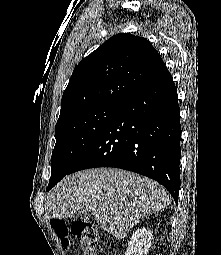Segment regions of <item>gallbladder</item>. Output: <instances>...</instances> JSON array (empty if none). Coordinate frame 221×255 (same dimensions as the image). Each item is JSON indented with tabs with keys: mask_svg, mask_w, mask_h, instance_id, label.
Masks as SVG:
<instances>
[{
	"mask_svg": "<svg viewBox=\"0 0 221 255\" xmlns=\"http://www.w3.org/2000/svg\"><path fill=\"white\" fill-rule=\"evenodd\" d=\"M79 215L84 220H88L93 216L92 212L89 211V210H82V211L79 212Z\"/></svg>",
	"mask_w": 221,
	"mask_h": 255,
	"instance_id": "gallbladder-1",
	"label": "gallbladder"
}]
</instances>
